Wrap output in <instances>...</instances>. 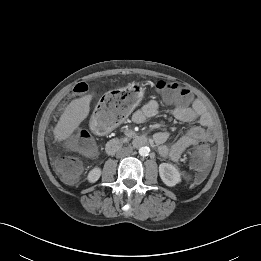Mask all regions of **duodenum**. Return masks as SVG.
Returning <instances> with one entry per match:
<instances>
[{
    "label": "duodenum",
    "instance_id": "410a0bca",
    "mask_svg": "<svg viewBox=\"0 0 261 261\" xmlns=\"http://www.w3.org/2000/svg\"><path fill=\"white\" fill-rule=\"evenodd\" d=\"M148 139L144 135H137L133 138L132 142L135 146H142L147 143ZM122 147V143L118 139H112L107 142L105 152L109 155L116 153Z\"/></svg>",
    "mask_w": 261,
    "mask_h": 261
}]
</instances>
